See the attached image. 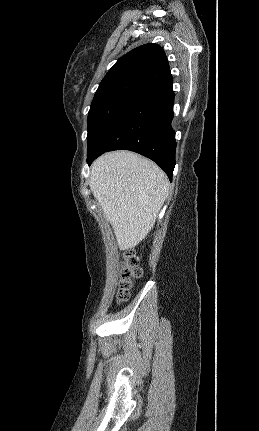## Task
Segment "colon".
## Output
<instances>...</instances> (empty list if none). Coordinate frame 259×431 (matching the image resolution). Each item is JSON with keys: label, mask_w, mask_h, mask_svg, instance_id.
<instances>
[{"label": "colon", "mask_w": 259, "mask_h": 431, "mask_svg": "<svg viewBox=\"0 0 259 431\" xmlns=\"http://www.w3.org/2000/svg\"><path fill=\"white\" fill-rule=\"evenodd\" d=\"M141 274L142 271L139 267L138 258L132 251L127 252L123 258L120 273V284L117 293V300L119 302H124L128 299L133 281L139 278Z\"/></svg>", "instance_id": "5ec220e1"}]
</instances>
